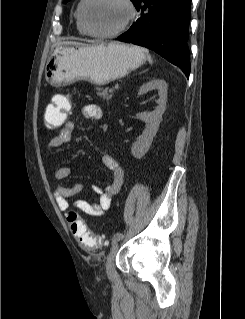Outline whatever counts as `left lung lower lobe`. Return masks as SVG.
<instances>
[{"label":"left lung lower lobe","instance_id":"left-lung-lower-lobe-1","mask_svg":"<svg viewBox=\"0 0 245 319\" xmlns=\"http://www.w3.org/2000/svg\"><path fill=\"white\" fill-rule=\"evenodd\" d=\"M190 5L191 0H138L141 16L117 40L154 50L188 77Z\"/></svg>","mask_w":245,"mask_h":319}]
</instances>
